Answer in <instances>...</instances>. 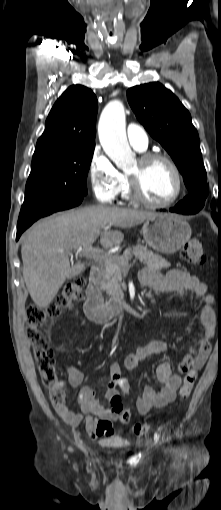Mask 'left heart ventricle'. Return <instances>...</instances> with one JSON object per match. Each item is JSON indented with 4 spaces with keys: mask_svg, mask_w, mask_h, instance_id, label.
<instances>
[{
    "mask_svg": "<svg viewBox=\"0 0 221 510\" xmlns=\"http://www.w3.org/2000/svg\"><path fill=\"white\" fill-rule=\"evenodd\" d=\"M128 173L139 176L141 191L149 200L167 201L176 192V177L163 161H154L143 167L137 160Z\"/></svg>",
    "mask_w": 221,
    "mask_h": 510,
    "instance_id": "1",
    "label": "left heart ventricle"
}]
</instances>
